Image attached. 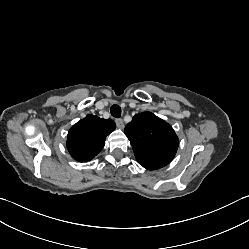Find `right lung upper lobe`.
<instances>
[{
  "label": "right lung upper lobe",
  "instance_id": "1",
  "mask_svg": "<svg viewBox=\"0 0 249 249\" xmlns=\"http://www.w3.org/2000/svg\"><path fill=\"white\" fill-rule=\"evenodd\" d=\"M116 125L111 119L87 115L71 127L67 136V149L80 162L90 161L104 147L106 136Z\"/></svg>",
  "mask_w": 249,
  "mask_h": 249
}]
</instances>
